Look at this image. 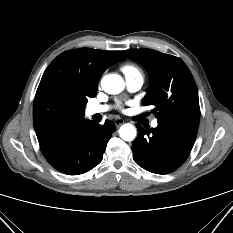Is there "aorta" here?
<instances>
[{
  "label": "aorta",
  "mask_w": 233,
  "mask_h": 233,
  "mask_svg": "<svg viewBox=\"0 0 233 233\" xmlns=\"http://www.w3.org/2000/svg\"><path fill=\"white\" fill-rule=\"evenodd\" d=\"M101 86L109 94H118L124 89L125 83L121 76L109 74L103 77ZM119 135L125 141H132L136 137V129L130 123L123 124L119 129Z\"/></svg>",
  "instance_id": "762f6f07"
}]
</instances>
